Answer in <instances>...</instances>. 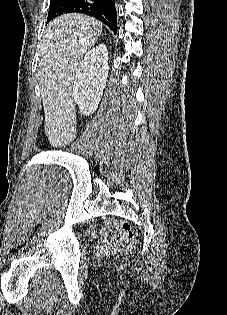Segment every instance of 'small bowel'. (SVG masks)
I'll list each match as a JSON object with an SVG mask.
<instances>
[{"mask_svg": "<svg viewBox=\"0 0 227 315\" xmlns=\"http://www.w3.org/2000/svg\"><path fill=\"white\" fill-rule=\"evenodd\" d=\"M116 229L117 224L115 222L108 223L102 228V234L105 236H110L100 242V248L110 250L118 245V239L116 236L112 235V231Z\"/></svg>", "mask_w": 227, "mask_h": 315, "instance_id": "c3829d8e", "label": "small bowel"}]
</instances>
